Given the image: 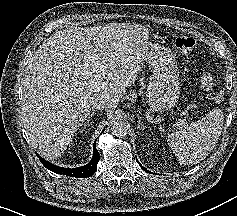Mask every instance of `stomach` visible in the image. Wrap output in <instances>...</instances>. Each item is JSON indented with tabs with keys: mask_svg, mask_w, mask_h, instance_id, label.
Masks as SVG:
<instances>
[{
	"mask_svg": "<svg viewBox=\"0 0 237 216\" xmlns=\"http://www.w3.org/2000/svg\"><path fill=\"white\" fill-rule=\"evenodd\" d=\"M150 61L155 67V78L147 91L148 103L152 111L170 110L179 99V79L175 63L169 50L152 46Z\"/></svg>",
	"mask_w": 237,
	"mask_h": 216,
	"instance_id": "stomach-1",
	"label": "stomach"
}]
</instances>
